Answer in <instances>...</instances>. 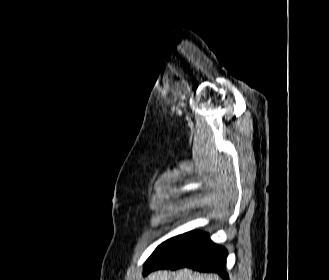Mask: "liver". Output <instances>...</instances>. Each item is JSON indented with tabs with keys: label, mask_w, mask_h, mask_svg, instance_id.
Instances as JSON below:
<instances>
[{
	"label": "liver",
	"mask_w": 329,
	"mask_h": 280,
	"mask_svg": "<svg viewBox=\"0 0 329 280\" xmlns=\"http://www.w3.org/2000/svg\"><path fill=\"white\" fill-rule=\"evenodd\" d=\"M149 280H219L218 277L212 275H202L192 272L190 269H182L176 272L160 270L153 272Z\"/></svg>",
	"instance_id": "1"
}]
</instances>
